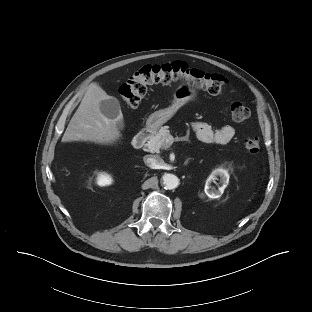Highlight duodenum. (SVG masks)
<instances>
[{
    "label": "duodenum",
    "instance_id": "1",
    "mask_svg": "<svg viewBox=\"0 0 312 312\" xmlns=\"http://www.w3.org/2000/svg\"><path fill=\"white\" fill-rule=\"evenodd\" d=\"M152 132L153 128L150 126L139 131L132 139V146L136 149L142 148Z\"/></svg>",
    "mask_w": 312,
    "mask_h": 312
}]
</instances>
